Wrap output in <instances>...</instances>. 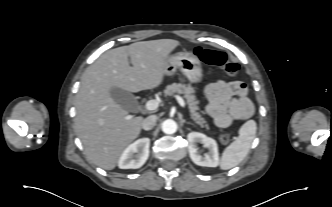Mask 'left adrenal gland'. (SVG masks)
<instances>
[{
  "label": "left adrenal gland",
  "instance_id": "a2214340",
  "mask_svg": "<svg viewBox=\"0 0 332 207\" xmlns=\"http://www.w3.org/2000/svg\"><path fill=\"white\" fill-rule=\"evenodd\" d=\"M187 124H192V123L188 122ZM192 125H193V124H192Z\"/></svg>",
  "mask_w": 332,
  "mask_h": 207
}]
</instances>
